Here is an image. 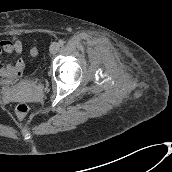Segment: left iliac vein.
I'll return each mask as SVG.
<instances>
[{"instance_id":"left-iliac-vein-1","label":"left iliac vein","mask_w":172,"mask_h":172,"mask_svg":"<svg viewBox=\"0 0 172 172\" xmlns=\"http://www.w3.org/2000/svg\"><path fill=\"white\" fill-rule=\"evenodd\" d=\"M58 50H59L58 43H56V42L52 43L51 46H50V52L52 54H55Z\"/></svg>"}]
</instances>
